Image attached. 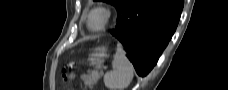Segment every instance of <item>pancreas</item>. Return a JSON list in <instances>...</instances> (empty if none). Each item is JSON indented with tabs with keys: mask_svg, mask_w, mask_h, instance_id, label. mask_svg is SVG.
I'll use <instances>...</instances> for the list:
<instances>
[{
	"mask_svg": "<svg viewBox=\"0 0 228 90\" xmlns=\"http://www.w3.org/2000/svg\"><path fill=\"white\" fill-rule=\"evenodd\" d=\"M98 79H99V76H92L89 79L85 80V84H87L89 88H92L94 84L97 83Z\"/></svg>",
	"mask_w": 228,
	"mask_h": 90,
	"instance_id": "obj_1",
	"label": "pancreas"
}]
</instances>
